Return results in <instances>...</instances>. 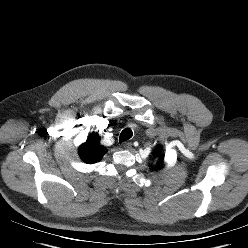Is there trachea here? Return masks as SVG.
Wrapping results in <instances>:
<instances>
[{
	"mask_svg": "<svg viewBox=\"0 0 248 248\" xmlns=\"http://www.w3.org/2000/svg\"><path fill=\"white\" fill-rule=\"evenodd\" d=\"M133 135V132L130 128H125L121 134H120V137H119V142L122 143L124 141H127L129 140Z\"/></svg>",
	"mask_w": 248,
	"mask_h": 248,
	"instance_id": "1",
	"label": "trachea"
}]
</instances>
